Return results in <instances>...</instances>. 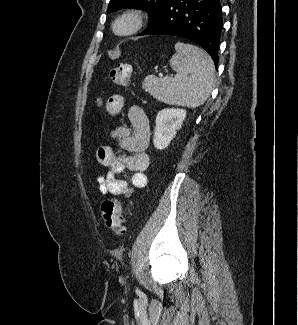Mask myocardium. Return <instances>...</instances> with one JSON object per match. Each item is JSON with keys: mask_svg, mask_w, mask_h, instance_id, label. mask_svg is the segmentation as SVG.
Masks as SVG:
<instances>
[{"mask_svg": "<svg viewBox=\"0 0 298 325\" xmlns=\"http://www.w3.org/2000/svg\"><path fill=\"white\" fill-rule=\"evenodd\" d=\"M141 27L140 19L134 14L122 16L114 26V33L119 37H130Z\"/></svg>", "mask_w": 298, "mask_h": 325, "instance_id": "1", "label": "myocardium"}]
</instances>
